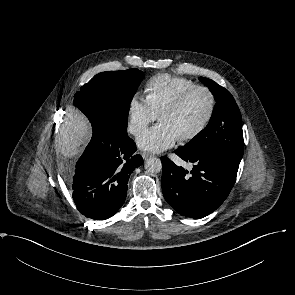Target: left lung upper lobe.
Segmentation results:
<instances>
[{"instance_id": "left-lung-upper-lobe-1", "label": "left lung upper lobe", "mask_w": 295, "mask_h": 295, "mask_svg": "<svg viewBox=\"0 0 295 295\" xmlns=\"http://www.w3.org/2000/svg\"><path fill=\"white\" fill-rule=\"evenodd\" d=\"M199 80L212 92L216 104L205 129L179 149L185 154L219 153L240 162L244 153L240 110L225 88L207 78Z\"/></svg>"}]
</instances>
